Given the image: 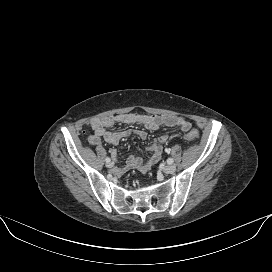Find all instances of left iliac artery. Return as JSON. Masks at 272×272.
I'll use <instances>...</instances> for the list:
<instances>
[{"label": "left iliac artery", "mask_w": 272, "mask_h": 272, "mask_svg": "<svg viewBox=\"0 0 272 272\" xmlns=\"http://www.w3.org/2000/svg\"><path fill=\"white\" fill-rule=\"evenodd\" d=\"M165 152H166V153H170V148H166V149H165ZM173 162H174V161H173L172 158H168V159H167V163H168V164H172Z\"/></svg>", "instance_id": "1"}]
</instances>
